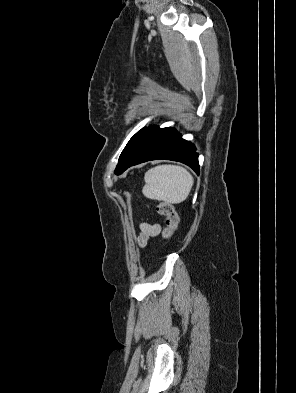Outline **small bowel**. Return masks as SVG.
I'll return each mask as SVG.
<instances>
[{"label":"small bowel","instance_id":"obj_1","mask_svg":"<svg viewBox=\"0 0 296 393\" xmlns=\"http://www.w3.org/2000/svg\"><path fill=\"white\" fill-rule=\"evenodd\" d=\"M161 232V226L159 224H150L143 222L140 224V235L138 237V243L144 247L148 244V241L156 237Z\"/></svg>","mask_w":296,"mask_h":393}]
</instances>
